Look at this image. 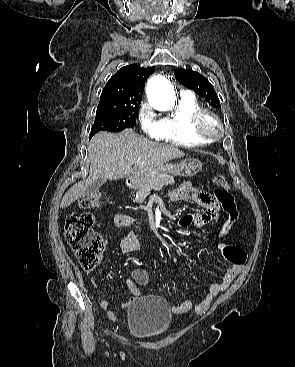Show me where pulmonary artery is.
I'll use <instances>...</instances> for the list:
<instances>
[{
    "label": "pulmonary artery",
    "instance_id": "1",
    "mask_svg": "<svg viewBox=\"0 0 295 367\" xmlns=\"http://www.w3.org/2000/svg\"><path fill=\"white\" fill-rule=\"evenodd\" d=\"M181 95H182V97H193L192 92L188 91V90H182Z\"/></svg>",
    "mask_w": 295,
    "mask_h": 367
}]
</instances>
